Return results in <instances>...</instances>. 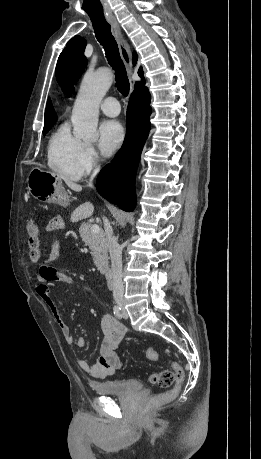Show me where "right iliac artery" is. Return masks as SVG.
<instances>
[{"label": "right iliac artery", "instance_id": "right-iliac-artery-1", "mask_svg": "<svg viewBox=\"0 0 261 459\" xmlns=\"http://www.w3.org/2000/svg\"><path fill=\"white\" fill-rule=\"evenodd\" d=\"M113 312H114V315L118 318V319H121L123 314H122V310L119 306H114L113 308Z\"/></svg>", "mask_w": 261, "mask_h": 459}]
</instances>
